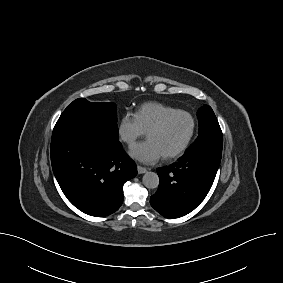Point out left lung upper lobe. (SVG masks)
I'll use <instances>...</instances> for the list:
<instances>
[{
	"mask_svg": "<svg viewBox=\"0 0 283 283\" xmlns=\"http://www.w3.org/2000/svg\"><path fill=\"white\" fill-rule=\"evenodd\" d=\"M199 135L194 143L185 151H207L213 155L222 156L223 135L218 120L208 105H204L197 112Z\"/></svg>",
	"mask_w": 283,
	"mask_h": 283,
	"instance_id": "obj_1",
	"label": "left lung upper lobe"
}]
</instances>
